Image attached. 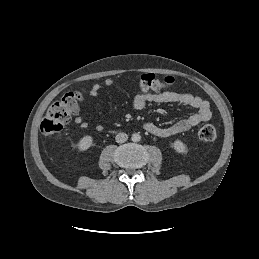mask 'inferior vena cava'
I'll list each match as a JSON object with an SVG mask.
<instances>
[{
    "mask_svg": "<svg viewBox=\"0 0 259 259\" xmlns=\"http://www.w3.org/2000/svg\"><path fill=\"white\" fill-rule=\"evenodd\" d=\"M115 140L117 143H124L128 140V135L126 133H118Z\"/></svg>",
    "mask_w": 259,
    "mask_h": 259,
    "instance_id": "1",
    "label": "inferior vena cava"
}]
</instances>
